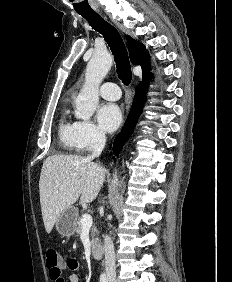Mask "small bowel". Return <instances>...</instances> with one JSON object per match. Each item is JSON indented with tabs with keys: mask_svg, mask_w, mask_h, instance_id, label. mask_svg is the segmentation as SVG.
I'll use <instances>...</instances> for the list:
<instances>
[{
	"mask_svg": "<svg viewBox=\"0 0 232 282\" xmlns=\"http://www.w3.org/2000/svg\"><path fill=\"white\" fill-rule=\"evenodd\" d=\"M63 268L76 271L80 269V263L77 259L70 258L62 264V269ZM50 278L53 282H65L61 274L58 276H53L52 274H50ZM68 280L69 282H80V276L77 273H71L68 277Z\"/></svg>",
	"mask_w": 232,
	"mask_h": 282,
	"instance_id": "obj_1",
	"label": "small bowel"
}]
</instances>
